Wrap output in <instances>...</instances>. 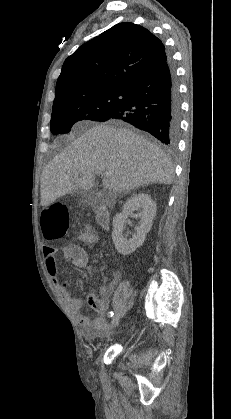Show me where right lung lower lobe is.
<instances>
[{"instance_id":"1","label":"right lung lower lobe","mask_w":231,"mask_h":419,"mask_svg":"<svg viewBox=\"0 0 231 419\" xmlns=\"http://www.w3.org/2000/svg\"><path fill=\"white\" fill-rule=\"evenodd\" d=\"M109 119L131 123L173 147L179 133L180 99L169 60L133 82Z\"/></svg>"}]
</instances>
